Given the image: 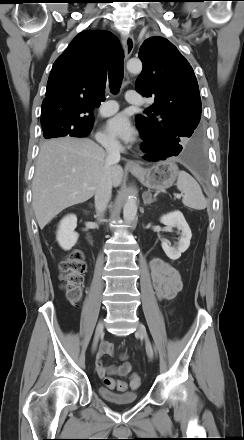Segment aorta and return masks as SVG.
Segmentation results:
<instances>
[{
	"instance_id": "aorta-1",
	"label": "aorta",
	"mask_w": 244,
	"mask_h": 440,
	"mask_svg": "<svg viewBox=\"0 0 244 440\" xmlns=\"http://www.w3.org/2000/svg\"><path fill=\"white\" fill-rule=\"evenodd\" d=\"M127 70L131 73H140L142 71V62L137 59H131L127 62ZM137 214V203L134 196H129L124 204L123 217L127 222L133 221Z\"/></svg>"
}]
</instances>
